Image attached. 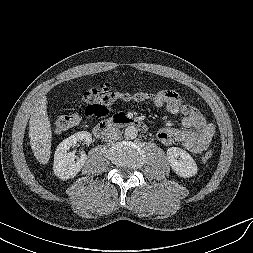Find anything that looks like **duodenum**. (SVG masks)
I'll list each match as a JSON object with an SVG mask.
<instances>
[{"label": "duodenum", "mask_w": 253, "mask_h": 253, "mask_svg": "<svg viewBox=\"0 0 253 253\" xmlns=\"http://www.w3.org/2000/svg\"><path fill=\"white\" fill-rule=\"evenodd\" d=\"M115 126H133L142 130H147V125L144 121L129 117L124 113H118L111 118L103 120L96 124L93 127L92 132L96 137L103 138Z\"/></svg>", "instance_id": "1"}]
</instances>
